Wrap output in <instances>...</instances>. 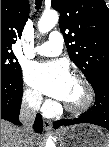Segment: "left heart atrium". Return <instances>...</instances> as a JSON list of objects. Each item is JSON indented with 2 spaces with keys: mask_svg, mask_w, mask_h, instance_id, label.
<instances>
[{
  "mask_svg": "<svg viewBox=\"0 0 109 147\" xmlns=\"http://www.w3.org/2000/svg\"><path fill=\"white\" fill-rule=\"evenodd\" d=\"M71 75L62 62L32 63L25 69L28 84L45 95L64 100Z\"/></svg>",
  "mask_w": 109,
  "mask_h": 147,
  "instance_id": "obj_1",
  "label": "left heart atrium"
}]
</instances>
